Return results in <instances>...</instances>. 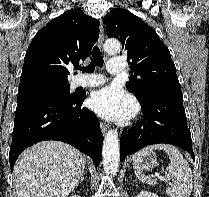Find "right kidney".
<instances>
[{
	"instance_id": "right-kidney-1",
	"label": "right kidney",
	"mask_w": 209,
	"mask_h": 197,
	"mask_svg": "<svg viewBox=\"0 0 209 197\" xmlns=\"http://www.w3.org/2000/svg\"><path fill=\"white\" fill-rule=\"evenodd\" d=\"M70 197H81L80 195H71Z\"/></svg>"
}]
</instances>
